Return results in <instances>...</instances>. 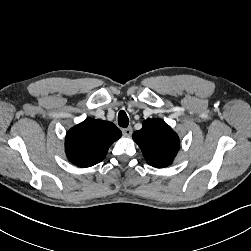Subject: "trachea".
<instances>
[{
    "mask_svg": "<svg viewBox=\"0 0 251 251\" xmlns=\"http://www.w3.org/2000/svg\"><path fill=\"white\" fill-rule=\"evenodd\" d=\"M118 124L120 127H128L129 125V118L126 114L125 111L121 110L119 113H118Z\"/></svg>",
    "mask_w": 251,
    "mask_h": 251,
    "instance_id": "3493384b",
    "label": "trachea"
}]
</instances>
